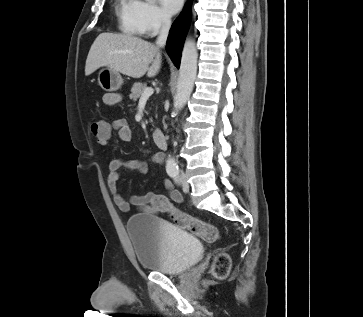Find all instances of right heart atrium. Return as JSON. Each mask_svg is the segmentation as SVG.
I'll return each instance as SVG.
<instances>
[{"label":"right heart atrium","instance_id":"right-heart-atrium-1","mask_svg":"<svg viewBox=\"0 0 363 317\" xmlns=\"http://www.w3.org/2000/svg\"><path fill=\"white\" fill-rule=\"evenodd\" d=\"M136 12L139 32L146 36L155 35L170 23L168 16L153 2L136 0Z\"/></svg>","mask_w":363,"mask_h":317}]
</instances>
